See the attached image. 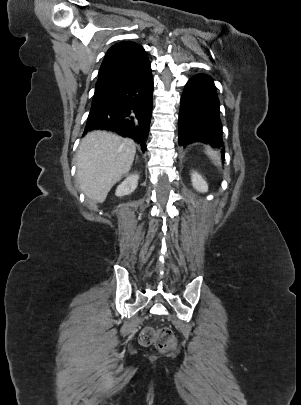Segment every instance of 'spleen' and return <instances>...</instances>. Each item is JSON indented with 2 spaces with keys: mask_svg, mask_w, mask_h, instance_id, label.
<instances>
[{
  "mask_svg": "<svg viewBox=\"0 0 301 405\" xmlns=\"http://www.w3.org/2000/svg\"><path fill=\"white\" fill-rule=\"evenodd\" d=\"M206 154L211 158V160L213 161L214 164H216V165L221 164L220 157L215 151L208 148L206 150Z\"/></svg>",
  "mask_w": 301,
  "mask_h": 405,
  "instance_id": "obj_1",
  "label": "spleen"
}]
</instances>
